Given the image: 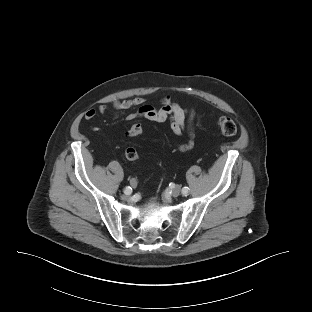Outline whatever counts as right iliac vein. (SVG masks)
Segmentation results:
<instances>
[{
    "mask_svg": "<svg viewBox=\"0 0 312 312\" xmlns=\"http://www.w3.org/2000/svg\"><path fill=\"white\" fill-rule=\"evenodd\" d=\"M130 183H131V186H132V187H136V186H137V182H136L134 179H132V180L130 181ZM127 195H129V194H127Z\"/></svg>",
    "mask_w": 312,
    "mask_h": 312,
    "instance_id": "63e3f726",
    "label": "right iliac vein"
}]
</instances>
